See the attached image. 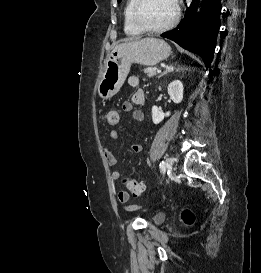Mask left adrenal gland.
Wrapping results in <instances>:
<instances>
[{
  "instance_id": "1",
  "label": "left adrenal gland",
  "mask_w": 261,
  "mask_h": 273,
  "mask_svg": "<svg viewBox=\"0 0 261 273\" xmlns=\"http://www.w3.org/2000/svg\"><path fill=\"white\" fill-rule=\"evenodd\" d=\"M172 71H174V68L170 65L169 67L166 68V70L158 78H160L163 75H165V74H167L169 72H172Z\"/></svg>"
}]
</instances>
